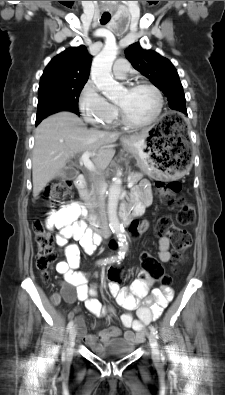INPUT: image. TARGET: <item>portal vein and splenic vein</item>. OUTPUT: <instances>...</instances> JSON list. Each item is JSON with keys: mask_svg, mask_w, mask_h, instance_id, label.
<instances>
[{"mask_svg": "<svg viewBox=\"0 0 225 395\" xmlns=\"http://www.w3.org/2000/svg\"><path fill=\"white\" fill-rule=\"evenodd\" d=\"M93 154L90 152H85L83 153V155L81 156V161L84 164V166L90 170V171H95V166L92 163V161L90 160V156H92ZM133 182L132 181H128V188H131L133 186Z\"/></svg>", "mask_w": 225, "mask_h": 395, "instance_id": "portal-vein-and-splenic-vein-1", "label": "portal vein and splenic vein"}]
</instances>
